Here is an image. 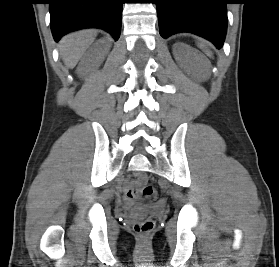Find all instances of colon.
<instances>
[{
	"instance_id": "obj_1",
	"label": "colon",
	"mask_w": 279,
	"mask_h": 267,
	"mask_svg": "<svg viewBox=\"0 0 279 267\" xmlns=\"http://www.w3.org/2000/svg\"><path fill=\"white\" fill-rule=\"evenodd\" d=\"M136 181H137L138 186L144 184V186L142 187V195L144 198H146L147 200H150V201L156 200L157 190L153 186L145 184V182H146L145 175H140L136 179ZM134 192L136 193V190H134ZM153 228H154V222L150 219H146L141 222H137L134 225V230H135L136 234L141 237H145V236L149 235L152 232Z\"/></svg>"
}]
</instances>
